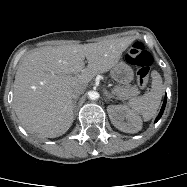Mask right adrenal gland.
<instances>
[{
    "label": "right adrenal gland",
    "instance_id": "obj_1",
    "mask_svg": "<svg viewBox=\"0 0 187 187\" xmlns=\"http://www.w3.org/2000/svg\"><path fill=\"white\" fill-rule=\"evenodd\" d=\"M76 102H77V99H74V100H73L74 110H75V108H76Z\"/></svg>",
    "mask_w": 187,
    "mask_h": 187
}]
</instances>
